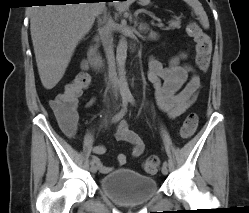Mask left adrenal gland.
<instances>
[{"label":"left adrenal gland","instance_id":"1","mask_svg":"<svg viewBox=\"0 0 249 213\" xmlns=\"http://www.w3.org/2000/svg\"><path fill=\"white\" fill-rule=\"evenodd\" d=\"M135 26H138L139 31L142 33L143 32L147 33L150 30L149 26L146 23H142V22L138 23L137 20L135 21Z\"/></svg>","mask_w":249,"mask_h":213}]
</instances>
